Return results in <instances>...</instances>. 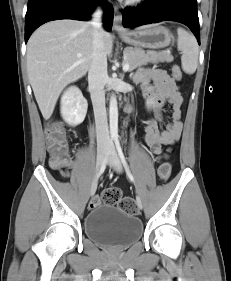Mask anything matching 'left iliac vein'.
Listing matches in <instances>:
<instances>
[{"label": "left iliac vein", "instance_id": "4c4485c4", "mask_svg": "<svg viewBox=\"0 0 231 281\" xmlns=\"http://www.w3.org/2000/svg\"><path fill=\"white\" fill-rule=\"evenodd\" d=\"M109 150L110 155L108 158V165L113 168L116 172L120 173L122 171V165L114 146L109 145ZM137 206L139 207V209L143 208L142 201L139 196L137 197Z\"/></svg>", "mask_w": 231, "mask_h": 281}]
</instances>
